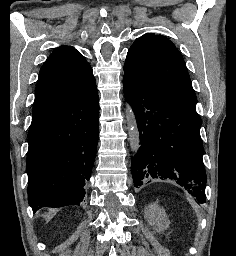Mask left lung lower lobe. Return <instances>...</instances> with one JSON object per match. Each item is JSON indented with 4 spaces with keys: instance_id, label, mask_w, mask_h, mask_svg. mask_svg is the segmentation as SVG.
<instances>
[{
    "instance_id": "0a47b994",
    "label": "left lung lower lobe",
    "mask_w": 236,
    "mask_h": 256,
    "mask_svg": "<svg viewBox=\"0 0 236 256\" xmlns=\"http://www.w3.org/2000/svg\"><path fill=\"white\" fill-rule=\"evenodd\" d=\"M123 88L140 135V148L131 164L134 186L172 179L204 203L207 177L202 160V121L196 107L126 76Z\"/></svg>"
}]
</instances>
